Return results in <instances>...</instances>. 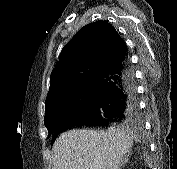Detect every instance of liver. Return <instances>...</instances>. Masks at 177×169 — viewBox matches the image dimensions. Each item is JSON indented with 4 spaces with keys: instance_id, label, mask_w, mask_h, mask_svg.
Masks as SVG:
<instances>
[{
    "instance_id": "1",
    "label": "liver",
    "mask_w": 177,
    "mask_h": 169,
    "mask_svg": "<svg viewBox=\"0 0 177 169\" xmlns=\"http://www.w3.org/2000/svg\"><path fill=\"white\" fill-rule=\"evenodd\" d=\"M133 146L129 128L74 129L62 133L52 151V169H121Z\"/></svg>"
}]
</instances>
